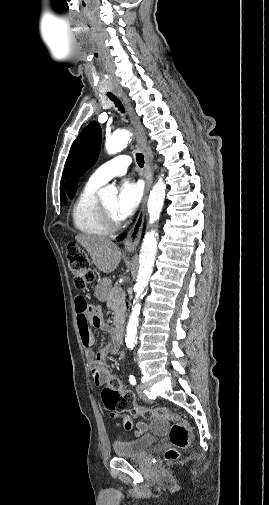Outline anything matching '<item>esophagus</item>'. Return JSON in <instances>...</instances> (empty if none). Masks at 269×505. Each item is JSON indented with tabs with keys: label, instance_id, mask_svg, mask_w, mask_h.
I'll return each mask as SVG.
<instances>
[{
	"label": "esophagus",
	"instance_id": "esophagus-1",
	"mask_svg": "<svg viewBox=\"0 0 269 505\" xmlns=\"http://www.w3.org/2000/svg\"><path fill=\"white\" fill-rule=\"evenodd\" d=\"M118 95L122 98L129 118L131 120V123L135 129V136H136V141H137V146L139 149L144 153L145 156V163H146V169H145V189H144V195L142 199V204L140 211L138 213V216L131 226L129 232H128V237L125 243V250L130 252L133 251L137 245L139 244L140 238H141V233H142V227L144 223V217H145V212H146V202L148 199V194L150 192V189L153 184V165H152V159L150 158L148 151H147V140L146 136L143 130V127L136 116L133 107L130 103V100L126 96V94L123 92V90L118 89L117 90Z\"/></svg>",
	"mask_w": 269,
	"mask_h": 505
}]
</instances>
